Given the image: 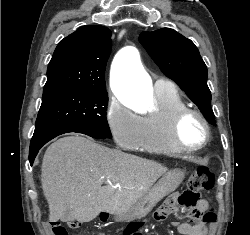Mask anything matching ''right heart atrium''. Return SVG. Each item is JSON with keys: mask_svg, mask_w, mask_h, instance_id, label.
<instances>
[{"mask_svg": "<svg viewBox=\"0 0 250 235\" xmlns=\"http://www.w3.org/2000/svg\"><path fill=\"white\" fill-rule=\"evenodd\" d=\"M108 128L116 143L124 148H136L142 134L141 117L111 96L106 108Z\"/></svg>", "mask_w": 250, "mask_h": 235, "instance_id": "right-heart-atrium-1", "label": "right heart atrium"}]
</instances>
